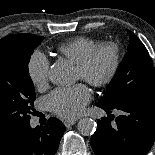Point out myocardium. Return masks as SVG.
Here are the masks:
<instances>
[{"mask_svg":"<svg viewBox=\"0 0 155 155\" xmlns=\"http://www.w3.org/2000/svg\"><path fill=\"white\" fill-rule=\"evenodd\" d=\"M104 52L110 54V65L106 73L100 77L93 75L95 64ZM121 63L120 49L115 43H102L95 47L80 63L77 68L81 79L94 87H103L111 83L116 77Z\"/></svg>","mask_w":155,"mask_h":155,"instance_id":"1","label":"myocardium"}]
</instances>
